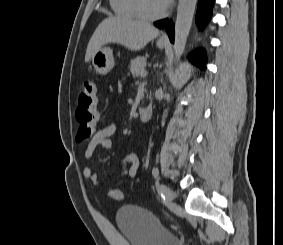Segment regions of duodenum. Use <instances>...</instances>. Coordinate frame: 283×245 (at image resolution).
<instances>
[{"label": "duodenum", "instance_id": "410a0bca", "mask_svg": "<svg viewBox=\"0 0 283 245\" xmlns=\"http://www.w3.org/2000/svg\"><path fill=\"white\" fill-rule=\"evenodd\" d=\"M153 111L150 106H145L140 111V119L143 122H149L152 119Z\"/></svg>", "mask_w": 283, "mask_h": 245}]
</instances>
